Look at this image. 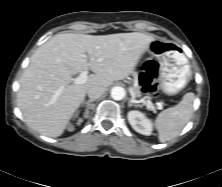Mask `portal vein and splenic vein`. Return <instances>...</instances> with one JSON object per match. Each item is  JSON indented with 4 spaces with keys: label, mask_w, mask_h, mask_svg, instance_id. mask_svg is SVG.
Listing matches in <instances>:
<instances>
[{
    "label": "portal vein and splenic vein",
    "mask_w": 222,
    "mask_h": 187,
    "mask_svg": "<svg viewBox=\"0 0 222 187\" xmlns=\"http://www.w3.org/2000/svg\"><path fill=\"white\" fill-rule=\"evenodd\" d=\"M82 57L84 58H88L87 55L85 54H82ZM87 78H88V71H83L78 77H76L74 79V84H84L87 82ZM62 90H58L57 94H60ZM130 94L133 98H135V95H134V92H133V89L130 88ZM146 102V106L148 109L150 110H154L155 107L154 105L152 104V102L150 100H147L145 101Z\"/></svg>",
    "instance_id": "1"
}]
</instances>
